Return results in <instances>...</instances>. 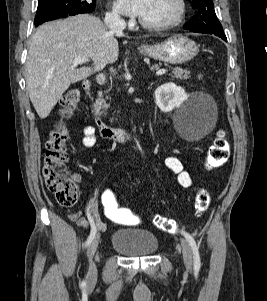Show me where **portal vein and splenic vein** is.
Returning <instances> with one entry per match:
<instances>
[{
	"mask_svg": "<svg viewBox=\"0 0 267 301\" xmlns=\"http://www.w3.org/2000/svg\"><path fill=\"white\" fill-rule=\"evenodd\" d=\"M89 60L86 58V57H80V56H76L73 60V64L74 65H78V64H82V63H86L88 62ZM167 72L166 69L162 68V69H158L156 71V75L159 76V75H163Z\"/></svg>",
	"mask_w": 267,
	"mask_h": 301,
	"instance_id": "portal-vein-and-splenic-vein-1",
	"label": "portal vein and splenic vein"
}]
</instances>
